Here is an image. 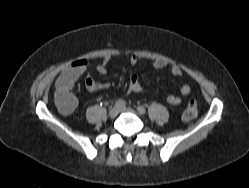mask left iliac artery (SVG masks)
<instances>
[{
	"label": "left iliac artery",
	"mask_w": 249,
	"mask_h": 188,
	"mask_svg": "<svg viewBox=\"0 0 249 188\" xmlns=\"http://www.w3.org/2000/svg\"><path fill=\"white\" fill-rule=\"evenodd\" d=\"M137 110H138V112H139L140 114H145V113H146V109H145L144 107H142V106H138V107H137Z\"/></svg>",
	"instance_id": "obj_1"
}]
</instances>
